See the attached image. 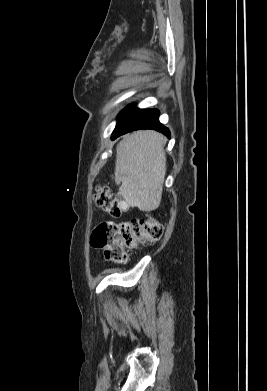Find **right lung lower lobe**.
<instances>
[{
  "instance_id": "right-lung-lower-lobe-1",
  "label": "right lung lower lobe",
  "mask_w": 267,
  "mask_h": 391,
  "mask_svg": "<svg viewBox=\"0 0 267 391\" xmlns=\"http://www.w3.org/2000/svg\"><path fill=\"white\" fill-rule=\"evenodd\" d=\"M158 117L157 109L143 110L136 108L133 104L129 105L120 112L112 139L139 129H154L170 137L168 128L159 122Z\"/></svg>"
}]
</instances>
